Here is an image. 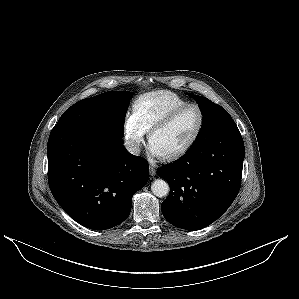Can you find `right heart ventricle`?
<instances>
[{"label": "right heart ventricle", "instance_id": "obj_1", "mask_svg": "<svg viewBox=\"0 0 299 299\" xmlns=\"http://www.w3.org/2000/svg\"><path fill=\"white\" fill-rule=\"evenodd\" d=\"M187 103H189L187 100L173 92L154 91L146 93L136 100L134 114L148 131L172 111Z\"/></svg>", "mask_w": 299, "mask_h": 299}]
</instances>
